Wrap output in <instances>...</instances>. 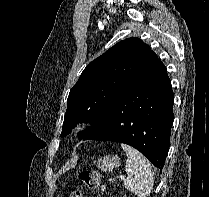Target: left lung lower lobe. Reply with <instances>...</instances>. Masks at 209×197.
Returning a JSON list of instances; mask_svg holds the SVG:
<instances>
[{"instance_id": "1", "label": "left lung lower lobe", "mask_w": 209, "mask_h": 197, "mask_svg": "<svg viewBox=\"0 0 209 197\" xmlns=\"http://www.w3.org/2000/svg\"><path fill=\"white\" fill-rule=\"evenodd\" d=\"M174 95L160 59L109 108L83 140L128 144L162 170L169 150Z\"/></svg>"}]
</instances>
